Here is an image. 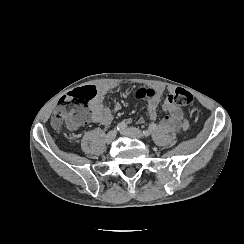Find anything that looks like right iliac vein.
Segmentation results:
<instances>
[{"label": "right iliac vein", "instance_id": "63e3f726", "mask_svg": "<svg viewBox=\"0 0 244 244\" xmlns=\"http://www.w3.org/2000/svg\"><path fill=\"white\" fill-rule=\"evenodd\" d=\"M115 138H116V131L112 130L106 135L105 141L106 143L110 144Z\"/></svg>", "mask_w": 244, "mask_h": 244}]
</instances>
